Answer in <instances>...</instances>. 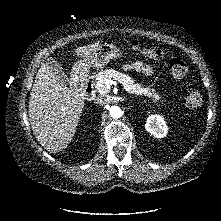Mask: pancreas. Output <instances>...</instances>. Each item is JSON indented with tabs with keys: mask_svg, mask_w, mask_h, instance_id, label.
<instances>
[{
	"mask_svg": "<svg viewBox=\"0 0 221 221\" xmlns=\"http://www.w3.org/2000/svg\"><path fill=\"white\" fill-rule=\"evenodd\" d=\"M112 78L119 81L130 94L145 96L159 104L164 103V100H162L160 95L154 92V90H151L148 87L144 88L140 84L134 83V80L130 76L113 69L102 70L96 74L95 88L100 94H107L110 91V88H106L105 83Z\"/></svg>",
	"mask_w": 221,
	"mask_h": 221,
	"instance_id": "cf45deb5",
	"label": "pancreas"
}]
</instances>
